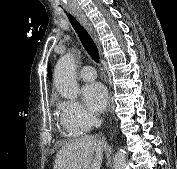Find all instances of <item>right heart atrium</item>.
<instances>
[{
    "label": "right heart atrium",
    "mask_w": 177,
    "mask_h": 169,
    "mask_svg": "<svg viewBox=\"0 0 177 169\" xmlns=\"http://www.w3.org/2000/svg\"><path fill=\"white\" fill-rule=\"evenodd\" d=\"M60 122L71 134L77 135L88 130L96 118L75 100H61L57 103Z\"/></svg>",
    "instance_id": "1"
}]
</instances>
